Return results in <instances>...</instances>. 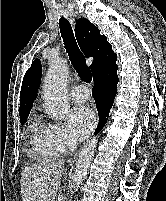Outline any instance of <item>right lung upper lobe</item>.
Segmentation results:
<instances>
[{
	"instance_id": "right-lung-upper-lobe-1",
	"label": "right lung upper lobe",
	"mask_w": 166,
	"mask_h": 201,
	"mask_svg": "<svg viewBox=\"0 0 166 201\" xmlns=\"http://www.w3.org/2000/svg\"><path fill=\"white\" fill-rule=\"evenodd\" d=\"M75 35L78 44L86 58L94 57L90 66L93 77L107 63H114L117 59L112 46L105 35H100L99 29L85 18L76 22ZM42 68L36 59L25 73L20 94V118L28 116L40 85Z\"/></svg>"
}]
</instances>
